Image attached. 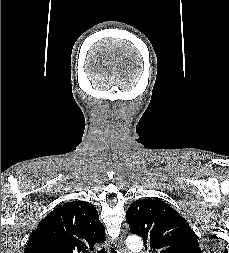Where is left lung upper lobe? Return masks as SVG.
Returning a JSON list of instances; mask_svg holds the SVG:
<instances>
[{"instance_id":"obj_1","label":"left lung upper lobe","mask_w":229,"mask_h":253,"mask_svg":"<svg viewBox=\"0 0 229 253\" xmlns=\"http://www.w3.org/2000/svg\"><path fill=\"white\" fill-rule=\"evenodd\" d=\"M131 232L154 253H202L196 234L172 207L156 199L137 200L128 208Z\"/></svg>"}]
</instances>
